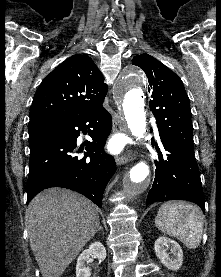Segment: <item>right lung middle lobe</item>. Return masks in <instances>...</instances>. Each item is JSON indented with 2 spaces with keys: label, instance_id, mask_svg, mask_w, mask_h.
Returning a JSON list of instances; mask_svg holds the SVG:
<instances>
[{
  "label": "right lung middle lobe",
  "instance_id": "dd1d6c3e",
  "mask_svg": "<svg viewBox=\"0 0 221 277\" xmlns=\"http://www.w3.org/2000/svg\"><path fill=\"white\" fill-rule=\"evenodd\" d=\"M48 133V130L43 125H29V145H33L36 142L43 139Z\"/></svg>",
  "mask_w": 221,
  "mask_h": 277
}]
</instances>
